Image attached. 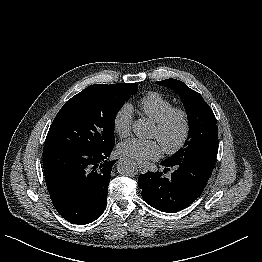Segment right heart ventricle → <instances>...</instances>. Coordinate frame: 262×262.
Returning <instances> with one entry per match:
<instances>
[{
	"label": "right heart ventricle",
	"mask_w": 262,
	"mask_h": 262,
	"mask_svg": "<svg viewBox=\"0 0 262 262\" xmlns=\"http://www.w3.org/2000/svg\"><path fill=\"white\" fill-rule=\"evenodd\" d=\"M138 107L145 116L157 122L173 107V103L158 92H149L138 101Z\"/></svg>",
	"instance_id": "right-heart-ventricle-1"
}]
</instances>
